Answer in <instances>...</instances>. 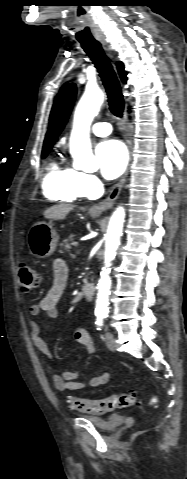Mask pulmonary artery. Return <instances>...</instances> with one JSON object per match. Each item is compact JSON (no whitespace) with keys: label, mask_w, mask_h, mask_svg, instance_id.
Segmentation results:
<instances>
[{"label":"pulmonary artery","mask_w":187,"mask_h":479,"mask_svg":"<svg viewBox=\"0 0 187 479\" xmlns=\"http://www.w3.org/2000/svg\"><path fill=\"white\" fill-rule=\"evenodd\" d=\"M91 130L97 136H107L111 133L112 126L107 122H98L92 126Z\"/></svg>","instance_id":"1"}]
</instances>
